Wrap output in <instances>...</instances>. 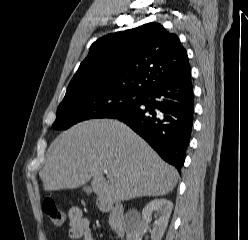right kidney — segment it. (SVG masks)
<instances>
[{"label":"right kidney","mask_w":248,"mask_h":240,"mask_svg":"<svg viewBox=\"0 0 248 240\" xmlns=\"http://www.w3.org/2000/svg\"><path fill=\"white\" fill-rule=\"evenodd\" d=\"M173 209V203L167 199H154L142 210V221L140 224L132 223L126 231L127 240H141L148 228V223L154 215L157 220L150 231L152 240H161L168 226V221Z\"/></svg>","instance_id":"right-kidney-1"}]
</instances>
